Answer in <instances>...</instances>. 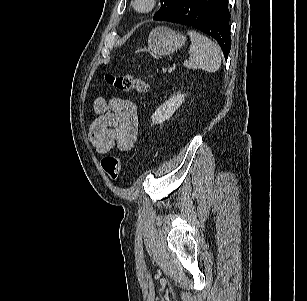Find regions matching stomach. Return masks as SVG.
<instances>
[{
  "instance_id": "obj_1",
  "label": "stomach",
  "mask_w": 307,
  "mask_h": 301,
  "mask_svg": "<svg viewBox=\"0 0 307 301\" xmlns=\"http://www.w3.org/2000/svg\"><path fill=\"white\" fill-rule=\"evenodd\" d=\"M186 41V37L167 27H157L153 29L148 37L149 49L159 55H169L181 48Z\"/></svg>"
}]
</instances>
